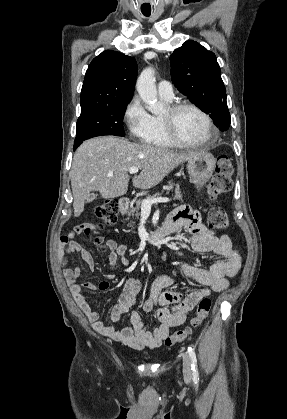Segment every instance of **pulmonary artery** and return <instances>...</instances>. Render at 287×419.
<instances>
[{"mask_svg":"<svg viewBox=\"0 0 287 419\" xmlns=\"http://www.w3.org/2000/svg\"><path fill=\"white\" fill-rule=\"evenodd\" d=\"M158 93L164 99L171 100L174 95L171 83L166 80L160 81L158 83Z\"/></svg>","mask_w":287,"mask_h":419,"instance_id":"1","label":"pulmonary artery"}]
</instances>
